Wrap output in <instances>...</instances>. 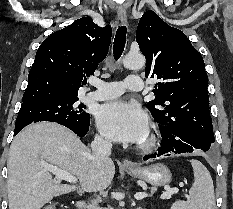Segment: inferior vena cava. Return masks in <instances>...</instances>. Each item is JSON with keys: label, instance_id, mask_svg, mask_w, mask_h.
<instances>
[{"label": "inferior vena cava", "instance_id": "inferior-vena-cava-1", "mask_svg": "<svg viewBox=\"0 0 233 209\" xmlns=\"http://www.w3.org/2000/svg\"><path fill=\"white\" fill-rule=\"evenodd\" d=\"M112 143L99 136L91 143L93 154L98 158L108 159L111 154ZM87 209H101L94 202L88 204Z\"/></svg>", "mask_w": 233, "mask_h": 209}]
</instances>
